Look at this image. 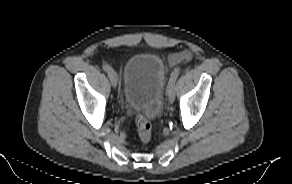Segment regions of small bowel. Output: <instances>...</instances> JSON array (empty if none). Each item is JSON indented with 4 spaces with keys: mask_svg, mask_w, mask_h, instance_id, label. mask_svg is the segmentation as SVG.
<instances>
[{
    "mask_svg": "<svg viewBox=\"0 0 292 184\" xmlns=\"http://www.w3.org/2000/svg\"><path fill=\"white\" fill-rule=\"evenodd\" d=\"M191 59V54L188 51L179 52L170 56L169 61L172 65L185 63Z\"/></svg>",
    "mask_w": 292,
    "mask_h": 184,
    "instance_id": "obj_1",
    "label": "small bowel"
}]
</instances>
